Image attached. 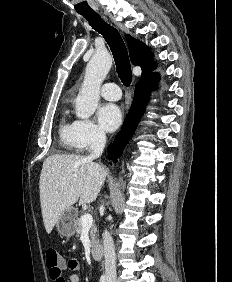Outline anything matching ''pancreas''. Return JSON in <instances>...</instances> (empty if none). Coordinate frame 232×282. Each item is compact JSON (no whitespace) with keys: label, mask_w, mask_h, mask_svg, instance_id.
Returning a JSON list of instances; mask_svg holds the SVG:
<instances>
[{"label":"pancreas","mask_w":232,"mask_h":282,"mask_svg":"<svg viewBox=\"0 0 232 282\" xmlns=\"http://www.w3.org/2000/svg\"><path fill=\"white\" fill-rule=\"evenodd\" d=\"M76 232L77 234H80L82 229H83V226H82V223H81V218L77 220L76 222ZM97 227L95 226V224H92V226L90 227L89 229V235L91 237V245L94 246L96 244V241H97Z\"/></svg>","instance_id":"1"}]
</instances>
